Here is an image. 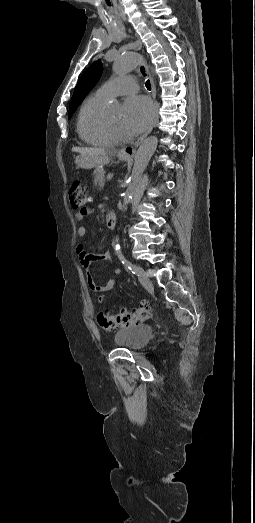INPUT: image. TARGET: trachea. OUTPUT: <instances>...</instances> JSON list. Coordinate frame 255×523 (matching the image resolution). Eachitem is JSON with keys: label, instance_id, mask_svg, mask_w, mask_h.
<instances>
[{"label": "trachea", "instance_id": "1", "mask_svg": "<svg viewBox=\"0 0 255 523\" xmlns=\"http://www.w3.org/2000/svg\"><path fill=\"white\" fill-rule=\"evenodd\" d=\"M146 88H147V90H151V85H150L149 80H147V82H146Z\"/></svg>", "mask_w": 255, "mask_h": 523}]
</instances>
